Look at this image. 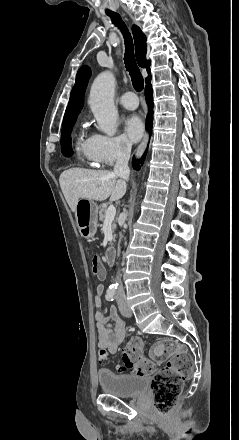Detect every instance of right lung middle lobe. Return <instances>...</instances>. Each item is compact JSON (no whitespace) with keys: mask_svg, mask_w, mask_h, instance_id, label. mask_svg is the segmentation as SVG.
<instances>
[{"mask_svg":"<svg viewBox=\"0 0 239 440\" xmlns=\"http://www.w3.org/2000/svg\"><path fill=\"white\" fill-rule=\"evenodd\" d=\"M75 121H72V122L62 126V136H61V144L63 145L62 152H66L71 149L70 134H71L72 127L74 126Z\"/></svg>","mask_w":239,"mask_h":440,"instance_id":"1","label":"right lung middle lobe"}]
</instances>
